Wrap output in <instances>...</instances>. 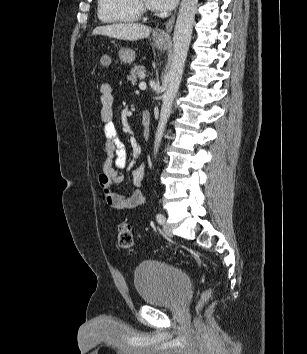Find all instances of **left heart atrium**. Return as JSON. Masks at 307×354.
<instances>
[{
    "instance_id": "obj_1",
    "label": "left heart atrium",
    "mask_w": 307,
    "mask_h": 354,
    "mask_svg": "<svg viewBox=\"0 0 307 354\" xmlns=\"http://www.w3.org/2000/svg\"><path fill=\"white\" fill-rule=\"evenodd\" d=\"M149 5L156 10L168 11L172 9L178 0H148Z\"/></svg>"
}]
</instances>
